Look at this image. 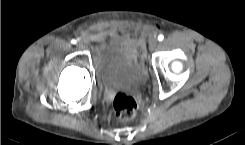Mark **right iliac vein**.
<instances>
[{
	"instance_id": "obj_1",
	"label": "right iliac vein",
	"mask_w": 245,
	"mask_h": 145,
	"mask_svg": "<svg viewBox=\"0 0 245 145\" xmlns=\"http://www.w3.org/2000/svg\"><path fill=\"white\" fill-rule=\"evenodd\" d=\"M78 49H83L84 48V44L82 42H77L76 44Z\"/></svg>"
}]
</instances>
